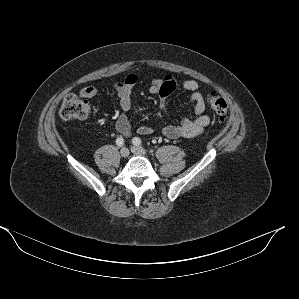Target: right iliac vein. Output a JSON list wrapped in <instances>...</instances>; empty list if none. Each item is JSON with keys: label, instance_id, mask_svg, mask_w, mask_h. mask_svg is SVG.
I'll list each match as a JSON object with an SVG mask.
<instances>
[{"label": "right iliac vein", "instance_id": "1", "mask_svg": "<svg viewBox=\"0 0 299 299\" xmlns=\"http://www.w3.org/2000/svg\"><path fill=\"white\" fill-rule=\"evenodd\" d=\"M120 155L121 157L123 158H126L129 156V150L126 148V147H123L121 150H120Z\"/></svg>", "mask_w": 299, "mask_h": 299}]
</instances>
